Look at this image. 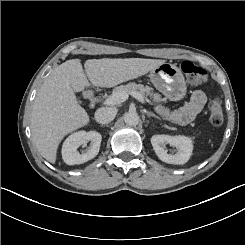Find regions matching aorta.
I'll return each mask as SVG.
<instances>
[{
  "label": "aorta",
  "instance_id": "1",
  "mask_svg": "<svg viewBox=\"0 0 245 245\" xmlns=\"http://www.w3.org/2000/svg\"><path fill=\"white\" fill-rule=\"evenodd\" d=\"M124 121L128 126H136L139 123V116L136 112H127Z\"/></svg>",
  "mask_w": 245,
  "mask_h": 245
}]
</instances>
